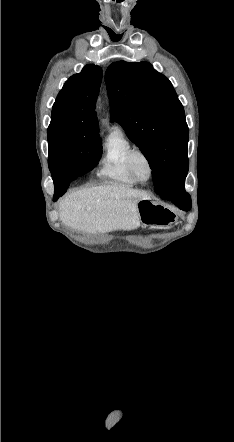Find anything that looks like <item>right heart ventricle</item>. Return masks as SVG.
<instances>
[{
	"instance_id": "e07e8e85",
	"label": "right heart ventricle",
	"mask_w": 234,
	"mask_h": 442,
	"mask_svg": "<svg viewBox=\"0 0 234 442\" xmlns=\"http://www.w3.org/2000/svg\"><path fill=\"white\" fill-rule=\"evenodd\" d=\"M134 149L132 142L120 128H113L103 144L97 175L109 182L134 186L136 180L127 167V156Z\"/></svg>"
}]
</instances>
